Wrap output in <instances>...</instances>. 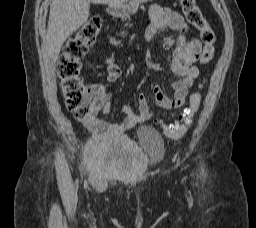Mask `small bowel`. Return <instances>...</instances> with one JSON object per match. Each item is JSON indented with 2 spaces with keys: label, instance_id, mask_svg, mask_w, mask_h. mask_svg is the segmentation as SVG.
Here are the masks:
<instances>
[{
  "label": "small bowel",
  "instance_id": "1",
  "mask_svg": "<svg viewBox=\"0 0 256 228\" xmlns=\"http://www.w3.org/2000/svg\"><path fill=\"white\" fill-rule=\"evenodd\" d=\"M164 29H171L178 33L177 39H167L164 48L174 47L171 62L172 71L181 77L172 83L173 96L168 97L157 84H151L148 91L152 92L156 104L164 110L177 109L184 105L190 87L199 75L195 63L199 59L201 43L196 38H186L188 26L181 14L168 8L153 6L150 11V25L145 34V40L150 41L154 34ZM106 79L108 82L117 81L121 75V68L115 63L114 57L106 59ZM102 103V112L110 110L111 94L102 84H94L89 88ZM125 119L122 122H109L92 117L86 121V125L97 132L122 133L135 126L146 122L150 116V110L145 92H141L137 99V110L130 105H124Z\"/></svg>",
  "mask_w": 256,
  "mask_h": 228
}]
</instances>
